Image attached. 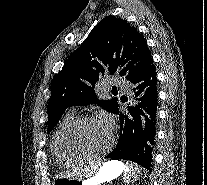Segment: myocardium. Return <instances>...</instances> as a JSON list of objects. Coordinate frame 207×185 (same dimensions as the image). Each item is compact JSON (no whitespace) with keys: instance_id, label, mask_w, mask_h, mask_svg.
<instances>
[{"instance_id":"f54148a6","label":"myocardium","mask_w":207,"mask_h":185,"mask_svg":"<svg viewBox=\"0 0 207 185\" xmlns=\"http://www.w3.org/2000/svg\"><path fill=\"white\" fill-rule=\"evenodd\" d=\"M96 119H98V118L94 115H85V116L77 118L71 124V126L67 132V136H66V142H67V145H68L69 149L71 150V152H73L74 154H77V155L93 157V158L103 157L108 153L109 148L114 144V142L116 140V130L114 128L111 129L110 146L103 151H99V152L91 151V150L83 147L78 142L77 133H78L79 129L81 128V126L88 121H92V120H96Z\"/></svg>"}]
</instances>
